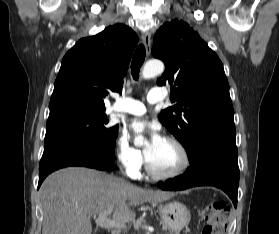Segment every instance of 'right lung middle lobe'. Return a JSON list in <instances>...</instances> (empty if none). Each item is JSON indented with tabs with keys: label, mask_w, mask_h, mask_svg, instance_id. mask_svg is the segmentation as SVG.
<instances>
[{
	"label": "right lung middle lobe",
	"mask_w": 279,
	"mask_h": 234,
	"mask_svg": "<svg viewBox=\"0 0 279 234\" xmlns=\"http://www.w3.org/2000/svg\"><path fill=\"white\" fill-rule=\"evenodd\" d=\"M105 110L66 107L51 110L47 120L45 147L78 140L91 145L104 156L114 158L118 126H109Z\"/></svg>",
	"instance_id": "1"
}]
</instances>
